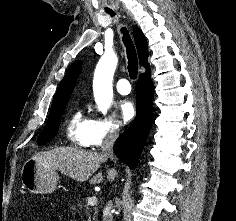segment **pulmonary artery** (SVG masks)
Here are the masks:
<instances>
[{"label":"pulmonary artery","mask_w":236,"mask_h":221,"mask_svg":"<svg viewBox=\"0 0 236 221\" xmlns=\"http://www.w3.org/2000/svg\"><path fill=\"white\" fill-rule=\"evenodd\" d=\"M117 91L122 95H127L131 91V86L127 79H119L116 83Z\"/></svg>","instance_id":"1"}]
</instances>
